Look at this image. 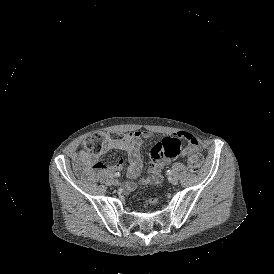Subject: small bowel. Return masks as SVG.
Returning <instances> with one entry per match:
<instances>
[{
    "label": "small bowel",
    "instance_id": "1",
    "mask_svg": "<svg viewBox=\"0 0 274 274\" xmlns=\"http://www.w3.org/2000/svg\"><path fill=\"white\" fill-rule=\"evenodd\" d=\"M178 136L166 135L159 133L155 135L153 144L149 152L151 167L150 175L141 178V185L159 184L162 181V170L164 167L176 161L186 150L188 143L190 144V152L198 151L200 153L199 140L188 132H178ZM153 137V133L148 130H134L124 134L118 138L107 137L104 147L99 154H92L83 150L76 152L73 156L75 170L86 176L88 179L98 174L105 173L109 168L105 163L100 161L99 157L112 150H121L128 154L129 163L127 167V176L130 179L124 185L126 191H132L136 188V184L132 179L141 174V146L145 139ZM187 140V141H186ZM167 147V150H165ZM124 159L120 158L113 170H119L124 166Z\"/></svg>",
    "mask_w": 274,
    "mask_h": 274
}]
</instances>
